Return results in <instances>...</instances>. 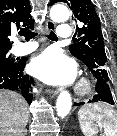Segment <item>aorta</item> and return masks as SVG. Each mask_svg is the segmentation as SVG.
Returning a JSON list of instances; mask_svg holds the SVG:
<instances>
[{
    "instance_id": "aorta-1",
    "label": "aorta",
    "mask_w": 117,
    "mask_h": 136,
    "mask_svg": "<svg viewBox=\"0 0 117 136\" xmlns=\"http://www.w3.org/2000/svg\"><path fill=\"white\" fill-rule=\"evenodd\" d=\"M69 10L64 5H55L50 11V16L55 22H65L69 18ZM72 99L68 91H62L56 102L57 114L59 117H65L71 110Z\"/></svg>"
}]
</instances>
